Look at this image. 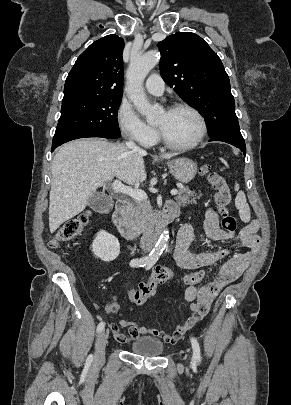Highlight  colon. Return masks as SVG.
<instances>
[{
    "mask_svg": "<svg viewBox=\"0 0 291 405\" xmlns=\"http://www.w3.org/2000/svg\"><path fill=\"white\" fill-rule=\"evenodd\" d=\"M200 173L208 179L215 190L214 199L221 215L222 227L226 231L233 232L236 229V219L228 210L230 191L226 179L218 172L212 170L210 165L201 166ZM89 220V213H82L68 220L51 241V246L58 248L62 243L71 241L81 235ZM203 275L202 271H196L186 275L183 281L188 286L197 285L201 282ZM170 281H177L174 271L166 266H156L147 281L140 283L137 288L129 291V298L133 303L142 305L155 295L160 285Z\"/></svg>",
    "mask_w": 291,
    "mask_h": 405,
    "instance_id": "obj_1",
    "label": "colon"
}]
</instances>
